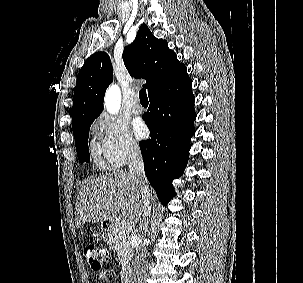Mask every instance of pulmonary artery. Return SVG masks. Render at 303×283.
<instances>
[{
  "instance_id": "pulmonary-artery-1",
  "label": "pulmonary artery",
  "mask_w": 303,
  "mask_h": 283,
  "mask_svg": "<svg viewBox=\"0 0 303 283\" xmlns=\"http://www.w3.org/2000/svg\"><path fill=\"white\" fill-rule=\"evenodd\" d=\"M132 111L136 114H139L143 111V106L141 105L139 101V96L135 95V100L132 104Z\"/></svg>"
}]
</instances>
